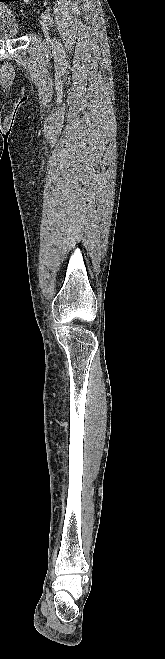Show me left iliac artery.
I'll list each match as a JSON object with an SVG mask.
<instances>
[{"label":"left iliac artery","mask_w":165,"mask_h":659,"mask_svg":"<svg viewBox=\"0 0 165 659\" xmlns=\"http://www.w3.org/2000/svg\"><path fill=\"white\" fill-rule=\"evenodd\" d=\"M42 17L46 19L49 23H53V19L48 11H44Z\"/></svg>","instance_id":"obj_1"}]
</instances>
